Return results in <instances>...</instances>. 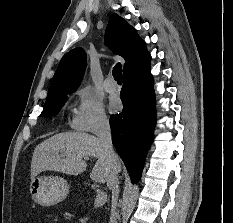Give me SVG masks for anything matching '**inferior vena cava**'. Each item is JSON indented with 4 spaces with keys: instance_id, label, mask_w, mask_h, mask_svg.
<instances>
[{
    "instance_id": "602c4592",
    "label": "inferior vena cava",
    "mask_w": 233,
    "mask_h": 223,
    "mask_svg": "<svg viewBox=\"0 0 233 223\" xmlns=\"http://www.w3.org/2000/svg\"><path fill=\"white\" fill-rule=\"evenodd\" d=\"M96 135L99 139V143H101V147H103L104 151H106L109 157L108 165H111L113 169V173H115L112 183H109L108 185L112 193L111 213H110L109 223H117L116 209H117V203L119 197V183H120L116 169L118 163V155L114 153V149L112 147L111 129L109 125V119H107V117H101V119H99Z\"/></svg>"
}]
</instances>
